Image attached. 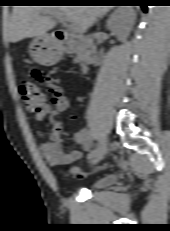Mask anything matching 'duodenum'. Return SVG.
Here are the masks:
<instances>
[{
  "label": "duodenum",
  "mask_w": 170,
  "mask_h": 231,
  "mask_svg": "<svg viewBox=\"0 0 170 231\" xmlns=\"http://www.w3.org/2000/svg\"><path fill=\"white\" fill-rule=\"evenodd\" d=\"M59 49L64 53H77L83 70L88 65L99 61L97 47L94 42L82 37H76L64 30L55 31L53 34Z\"/></svg>",
  "instance_id": "duodenum-1"
}]
</instances>
